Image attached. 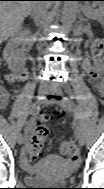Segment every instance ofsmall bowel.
<instances>
[{
    "mask_svg": "<svg viewBox=\"0 0 104 189\" xmlns=\"http://www.w3.org/2000/svg\"><path fill=\"white\" fill-rule=\"evenodd\" d=\"M83 67L87 71V73L90 75L91 79L94 81L96 91L99 93H102L103 86H102L101 82L99 81V78L95 77L93 75V70L95 68L101 69V67L98 64L92 63L90 61H85L83 63ZM27 77H28L27 71L25 69H21L18 71L8 72L4 76V80L7 84H13L18 81H25L27 79ZM10 100H11V98H10L9 92L7 91L6 88L2 87L0 89V105H1V107L5 108L9 104ZM25 132H26V143L24 144V146L21 150V159L23 162H26L27 158H28V149H29L32 137H33V125L29 124L26 127Z\"/></svg>",
    "mask_w": 104,
    "mask_h": 189,
    "instance_id": "obj_1",
    "label": "small bowel"
}]
</instances>
